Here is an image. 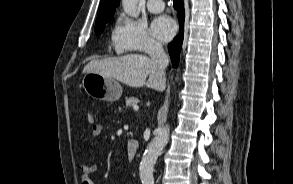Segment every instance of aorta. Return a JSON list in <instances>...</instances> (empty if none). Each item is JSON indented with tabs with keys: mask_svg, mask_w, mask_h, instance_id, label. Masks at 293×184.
<instances>
[{
	"mask_svg": "<svg viewBox=\"0 0 293 184\" xmlns=\"http://www.w3.org/2000/svg\"><path fill=\"white\" fill-rule=\"evenodd\" d=\"M138 0H122V6L128 15L138 17ZM170 128L164 126L158 130L157 135L149 143L140 163L139 171L142 184H154L153 167L158 156L169 140Z\"/></svg>",
	"mask_w": 293,
	"mask_h": 184,
	"instance_id": "1",
	"label": "aorta"
}]
</instances>
